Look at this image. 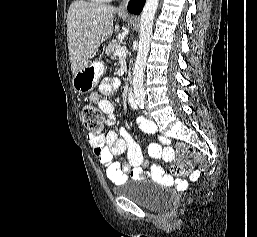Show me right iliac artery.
Returning a JSON list of instances; mask_svg holds the SVG:
<instances>
[{"label":"right iliac artery","instance_id":"obj_1","mask_svg":"<svg viewBox=\"0 0 257 237\" xmlns=\"http://www.w3.org/2000/svg\"><path fill=\"white\" fill-rule=\"evenodd\" d=\"M138 105H139V107H140L141 109H144V103H143V102L138 103Z\"/></svg>","mask_w":257,"mask_h":237}]
</instances>
